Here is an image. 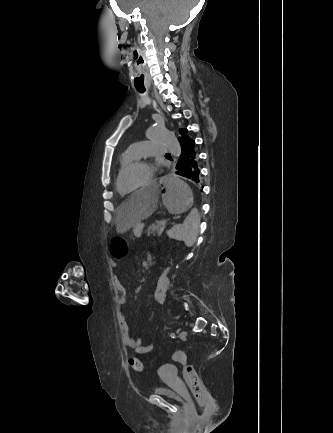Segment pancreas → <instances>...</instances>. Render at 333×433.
Returning <instances> with one entry per match:
<instances>
[{
	"instance_id": "cf45deb5",
	"label": "pancreas",
	"mask_w": 333,
	"mask_h": 433,
	"mask_svg": "<svg viewBox=\"0 0 333 433\" xmlns=\"http://www.w3.org/2000/svg\"><path fill=\"white\" fill-rule=\"evenodd\" d=\"M168 220L167 219H162L159 221H155V223H153L151 226H149L148 230H147V235H153L155 236L156 234L158 236H160L162 234V228L167 224Z\"/></svg>"
}]
</instances>
